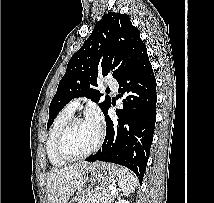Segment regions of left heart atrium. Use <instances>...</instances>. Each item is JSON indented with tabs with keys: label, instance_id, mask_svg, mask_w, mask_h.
<instances>
[{
	"label": "left heart atrium",
	"instance_id": "left-heart-atrium-1",
	"mask_svg": "<svg viewBox=\"0 0 214 203\" xmlns=\"http://www.w3.org/2000/svg\"><path fill=\"white\" fill-rule=\"evenodd\" d=\"M88 120H90L92 123L99 127L102 121V116L97 109H93L89 112Z\"/></svg>",
	"mask_w": 214,
	"mask_h": 203
}]
</instances>
